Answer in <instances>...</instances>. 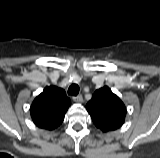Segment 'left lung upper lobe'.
Listing matches in <instances>:
<instances>
[{"label": "left lung upper lobe", "mask_w": 160, "mask_h": 158, "mask_svg": "<svg viewBox=\"0 0 160 158\" xmlns=\"http://www.w3.org/2000/svg\"><path fill=\"white\" fill-rule=\"evenodd\" d=\"M86 109L95 126L103 132L114 131L124 123L125 105L108 86L95 91Z\"/></svg>", "instance_id": "left-lung-upper-lobe-1"}]
</instances>
